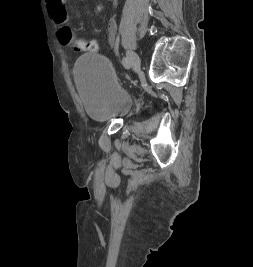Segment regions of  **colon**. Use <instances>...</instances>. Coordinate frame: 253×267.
Instances as JSON below:
<instances>
[{
    "instance_id": "obj_1",
    "label": "colon",
    "mask_w": 253,
    "mask_h": 267,
    "mask_svg": "<svg viewBox=\"0 0 253 267\" xmlns=\"http://www.w3.org/2000/svg\"><path fill=\"white\" fill-rule=\"evenodd\" d=\"M57 39L61 45L77 52H97L99 50V45L95 40L80 38L70 26H61L57 31Z\"/></svg>"
}]
</instances>
